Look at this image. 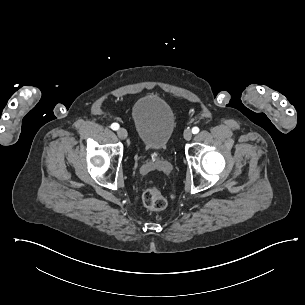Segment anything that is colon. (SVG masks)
<instances>
[{
	"instance_id": "colon-1",
	"label": "colon",
	"mask_w": 305,
	"mask_h": 305,
	"mask_svg": "<svg viewBox=\"0 0 305 305\" xmlns=\"http://www.w3.org/2000/svg\"><path fill=\"white\" fill-rule=\"evenodd\" d=\"M144 206L150 211H161L167 205L166 197L155 188H148L142 196Z\"/></svg>"
}]
</instances>
